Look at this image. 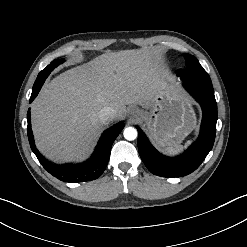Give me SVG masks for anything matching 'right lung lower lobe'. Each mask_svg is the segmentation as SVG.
Wrapping results in <instances>:
<instances>
[{
	"label": "right lung lower lobe",
	"instance_id": "right-lung-lower-lobe-1",
	"mask_svg": "<svg viewBox=\"0 0 247 247\" xmlns=\"http://www.w3.org/2000/svg\"><path fill=\"white\" fill-rule=\"evenodd\" d=\"M37 81V80H36ZM45 79H42L40 83H34L32 94L30 97V103L35 99L37 94L40 91ZM30 110V109H29ZM28 110L27 113V133L28 139L31 146L32 151L38 158L39 162L45 168L47 172H49L54 177L58 178L64 182H86L90 180L97 179L105 170L107 163L110 158L111 147L119 135L121 130L124 128V123L120 122L112 128L108 129L101 137L99 144L96 148V151L92 158L80 165H63L57 166L46 160L37 150L34 144V138L31 129L30 122V112Z\"/></svg>",
	"mask_w": 247,
	"mask_h": 247
}]
</instances>
